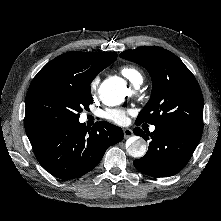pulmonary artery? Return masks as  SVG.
<instances>
[{"label":"pulmonary artery","mask_w":221,"mask_h":221,"mask_svg":"<svg viewBox=\"0 0 221 221\" xmlns=\"http://www.w3.org/2000/svg\"><path fill=\"white\" fill-rule=\"evenodd\" d=\"M154 130H155V127H154V126H152V127H151V131H154Z\"/></svg>","instance_id":"e3ab8cb5"}]
</instances>
